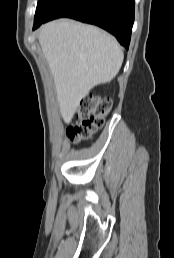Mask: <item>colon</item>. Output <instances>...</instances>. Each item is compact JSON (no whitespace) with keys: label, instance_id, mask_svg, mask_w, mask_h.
<instances>
[{"label":"colon","instance_id":"colon-1","mask_svg":"<svg viewBox=\"0 0 174 258\" xmlns=\"http://www.w3.org/2000/svg\"><path fill=\"white\" fill-rule=\"evenodd\" d=\"M111 107L108 98L85 96L71 118V126L67 129L69 139L74 143L90 139L103 126Z\"/></svg>","mask_w":174,"mask_h":258}]
</instances>
